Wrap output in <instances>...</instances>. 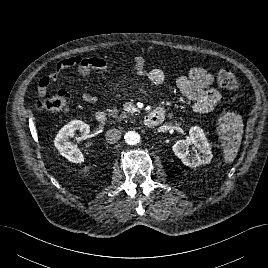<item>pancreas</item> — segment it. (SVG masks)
<instances>
[{"label": "pancreas", "instance_id": "obj_1", "mask_svg": "<svg viewBox=\"0 0 268 268\" xmlns=\"http://www.w3.org/2000/svg\"><path fill=\"white\" fill-rule=\"evenodd\" d=\"M108 114L109 116H112V117H119V118H127L128 117V114L126 112H122L120 115H119V111L117 110V108H113V109H108Z\"/></svg>", "mask_w": 268, "mask_h": 268}]
</instances>
